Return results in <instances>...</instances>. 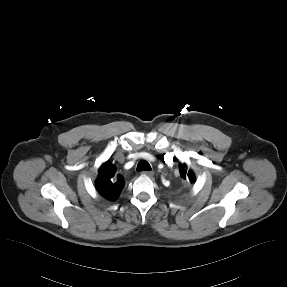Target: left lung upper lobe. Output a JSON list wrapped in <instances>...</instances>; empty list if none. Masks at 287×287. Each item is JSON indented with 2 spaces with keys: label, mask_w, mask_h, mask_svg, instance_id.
<instances>
[{
  "label": "left lung upper lobe",
  "mask_w": 287,
  "mask_h": 287,
  "mask_svg": "<svg viewBox=\"0 0 287 287\" xmlns=\"http://www.w3.org/2000/svg\"><path fill=\"white\" fill-rule=\"evenodd\" d=\"M180 176L182 179L186 180L187 182H193L195 180V175L192 173L191 170L187 171L186 164H180Z\"/></svg>",
  "instance_id": "1"
}]
</instances>
